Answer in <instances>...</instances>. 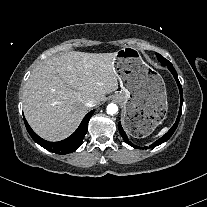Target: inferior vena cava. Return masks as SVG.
I'll use <instances>...</instances> for the list:
<instances>
[{
  "label": "inferior vena cava",
  "mask_w": 207,
  "mask_h": 207,
  "mask_svg": "<svg viewBox=\"0 0 207 207\" xmlns=\"http://www.w3.org/2000/svg\"><path fill=\"white\" fill-rule=\"evenodd\" d=\"M97 105V101L95 99H89L88 102L86 103L87 107H94Z\"/></svg>",
  "instance_id": "inferior-vena-cava-1"
}]
</instances>
